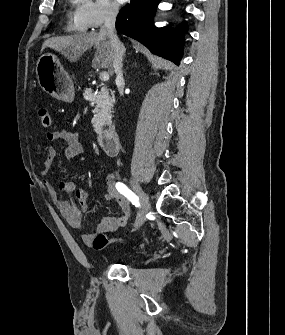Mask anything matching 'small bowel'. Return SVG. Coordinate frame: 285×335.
<instances>
[{"label": "small bowel", "mask_w": 285, "mask_h": 335, "mask_svg": "<svg viewBox=\"0 0 285 335\" xmlns=\"http://www.w3.org/2000/svg\"><path fill=\"white\" fill-rule=\"evenodd\" d=\"M47 140L51 143L63 142L67 145L65 149V158L71 160L77 156L83 155L85 152L84 145L79 141L77 135L68 128H62L57 131L47 133ZM56 149L53 146L48 147L46 157L40 168V176L44 177L54 163L56 158ZM107 192L103 198L106 201H115L120 210L121 215L105 216L98 223L96 230L91 233H84L82 240L85 244L90 245L93 238L100 233L110 234L120 227L124 226L131 217L132 211L128 201L120 195L116 189V184L112 174L106 176ZM43 186L51 197L54 205L60 212L61 216L74 228H81L83 224V213L88 210L89 195L83 189L77 187L73 181H64L60 185V189L56 190L53 185L46 179H43ZM65 195H73L77 201V208L72 206Z\"/></svg>", "instance_id": "c3829d8e"}]
</instances>
